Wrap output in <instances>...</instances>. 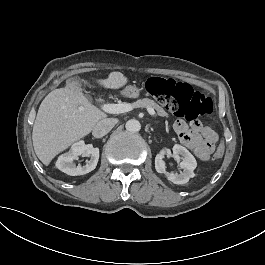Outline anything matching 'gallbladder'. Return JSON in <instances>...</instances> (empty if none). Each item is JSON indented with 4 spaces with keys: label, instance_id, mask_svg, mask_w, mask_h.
I'll return each instance as SVG.
<instances>
[{
    "label": "gallbladder",
    "instance_id": "obj_1",
    "mask_svg": "<svg viewBox=\"0 0 265 265\" xmlns=\"http://www.w3.org/2000/svg\"><path fill=\"white\" fill-rule=\"evenodd\" d=\"M80 82H83V79H80ZM87 99H88L89 101H91L92 97H91V96H88Z\"/></svg>",
    "mask_w": 265,
    "mask_h": 265
}]
</instances>
